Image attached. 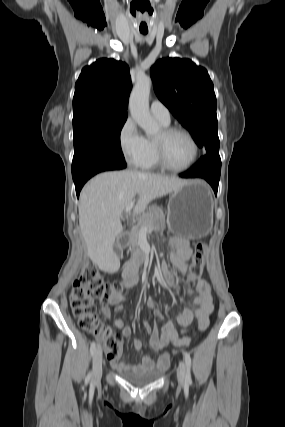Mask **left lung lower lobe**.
<instances>
[{
	"label": "left lung lower lobe",
	"instance_id": "1",
	"mask_svg": "<svg viewBox=\"0 0 285 427\" xmlns=\"http://www.w3.org/2000/svg\"><path fill=\"white\" fill-rule=\"evenodd\" d=\"M220 172V156L206 154L200 158V160L190 170L179 174V176L182 178H204L207 182L210 183L216 194L220 179Z\"/></svg>",
	"mask_w": 285,
	"mask_h": 427
}]
</instances>
